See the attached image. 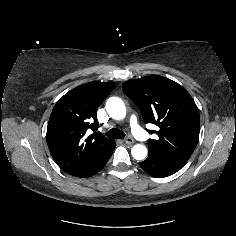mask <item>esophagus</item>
<instances>
[{
  "mask_svg": "<svg viewBox=\"0 0 236 236\" xmlns=\"http://www.w3.org/2000/svg\"><path fill=\"white\" fill-rule=\"evenodd\" d=\"M125 143L128 144V145H132L134 143V139L132 137H126L124 139Z\"/></svg>",
  "mask_w": 236,
  "mask_h": 236,
  "instance_id": "obj_1",
  "label": "esophagus"
}]
</instances>
